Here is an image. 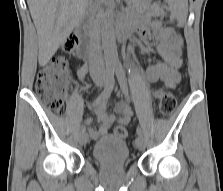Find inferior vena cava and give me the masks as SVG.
Segmentation results:
<instances>
[{
  "instance_id": "obj_1",
  "label": "inferior vena cava",
  "mask_w": 223,
  "mask_h": 191,
  "mask_svg": "<svg viewBox=\"0 0 223 191\" xmlns=\"http://www.w3.org/2000/svg\"><path fill=\"white\" fill-rule=\"evenodd\" d=\"M90 4L93 5V1L90 0ZM92 48L94 51L93 62L91 66V74L95 75L98 73H102L104 71V62L101 54V50L99 47L98 39H94L92 42Z\"/></svg>"
}]
</instances>
